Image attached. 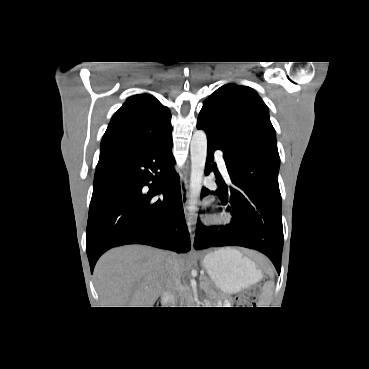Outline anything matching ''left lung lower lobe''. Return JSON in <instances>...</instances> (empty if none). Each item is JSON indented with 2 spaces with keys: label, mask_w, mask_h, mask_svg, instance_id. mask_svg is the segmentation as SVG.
Returning a JSON list of instances; mask_svg holds the SVG:
<instances>
[{
  "label": "left lung lower lobe",
  "mask_w": 369,
  "mask_h": 369,
  "mask_svg": "<svg viewBox=\"0 0 369 369\" xmlns=\"http://www.w3.org/2000/svg\"><path fill=\"white\" fill-rule=\"evenodd\" d=\"M197 128L204 129L208 139L205 174L210 173L214 151L220 149L230 176L229 182L218 178L216 191L203 188L202 196L218 195L219 205L225 206L233 218L230 224L218 228L206 227L198 221L195 249L221 246L255 249L268 256L280 274L284 238L279 188L260 178H239L236 166L242 160L225 151L220 141L199 122Z\"/></svg>",
  "instance_id": "0a47b994"
}]
</instances>
